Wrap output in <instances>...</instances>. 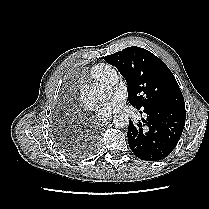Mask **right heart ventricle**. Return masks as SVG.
<instances>
[{
    "label": "right heart ventricle",
    "mask_w": 209,
    "mask_h": 209,
    "mask_svg": "<svg viewBox=\"0 0 209 209\" xmlns=\"http://www.w3.org/2000/svg\"><path fill=\"white\" fill-rule=\"evenodd\" d=\"M114 69L108 64H98L91 68L90 76L99 82L108 83V78Z\"/></svg>",
    "instance_id": "right-heart-ventricle-1"
}]
</instances>
